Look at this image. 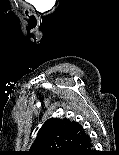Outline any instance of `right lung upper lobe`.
<instances>
[{
  "label": "right lung upper lobe",
  "mask_w": 119,
  "mask_h": 155,
  "mask_svg": "<svg viewBox=\"0 0 119 155\" xmlns=\"http://www.w3.org/2000/svg\"><path fill=\"white\" fill-rule=\"evenodd\" d=\"M86 135L84 129L67 118H51L40 129L27 155H62L70 145Z\"/></svg>",
  "instance_id": "obj_1"
}]
</instances>
